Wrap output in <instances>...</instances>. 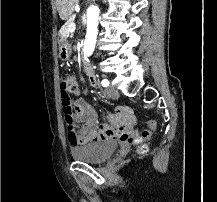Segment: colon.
Wrapping results in <instances>:
<instances>
[{
  "mask_svg": "<svg viewBox=\"0 0 217 202\" xmlns=\"http://www.w3.org/2000/svg\"><path fill=\"white\" fill-rule=\"evenodd\" d=\"M73 86V82L69 78H65L60 82V98H61V105L63 109V116L65 126L68 131H76L74 118H73V111L71 108V97H70V89ZM148 127L155 128L156 122L153 121L151 118L148 120ZM144 140L143 141H150L151 135H153V130H149L147 127L144 129ZM145 146L142 147V151L144 150Z\"/></svg>",
  "mask_w": 217,
  "mask_h": 202,
  "instance_id": "obj_1",
  "label": "colon"
}]
</instances>
